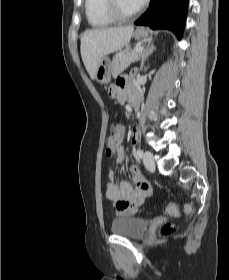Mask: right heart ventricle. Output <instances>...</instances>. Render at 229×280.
<instances>
[{"instance_id": "right-heart-ventricle-1", "label": "right heart ventricle", "mask_w": 229, "mask_h": 280, "mask_svg": "<svg viewBox=\"0 0 229 280\" xmlns=\"http://www.w3.org/2000/svg\"><path fill=\"white\" fill-rule=\"evenodd\" d=\"M105 0H85V16L93 28H107L115 21L107 16L104 10Z\"/></svg>"}]
</instances>
